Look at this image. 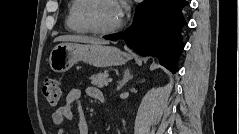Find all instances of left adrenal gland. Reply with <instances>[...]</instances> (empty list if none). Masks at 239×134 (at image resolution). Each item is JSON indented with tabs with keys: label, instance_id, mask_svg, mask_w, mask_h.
I'll return each mask as SVG.
<instances>
[{
	"label": "left adrenal gland",
	"instance_id": "1",
	"mask_svg": "<svg viewBox=\"0 0 239 134\" xmlns=\"http://www.w3.org/2000/svg\"><path fill=\"white\" fill-rule=\"evenodd\" d=\"M132 78H133V76L130 74L129 69L127 68L124 71L123 79L119 82V84L117 86V90H121V88Z\"/></svg>",
	"mask_w": 239,
	"mask_h": 134
}]
</instances>
